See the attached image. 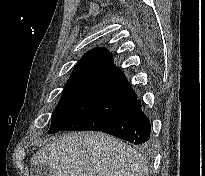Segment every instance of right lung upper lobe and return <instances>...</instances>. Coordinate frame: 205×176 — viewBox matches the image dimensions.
<instances>
[{
    "label": "right lung upper lobe",
    "mask_w": 205,
    "mask_h": 176,
    "mask_svg": "<svg viewBox=\"0 0 205 176\" xmlns=\"http://www.w3.org/2000/svg\"><path fill=\"white\" fill-rule=\"evenodd\" d=\"M82 93H101L133 100L137 97L113 56L102 48L88 51L76 64L63 90L64 96Z\"/></svg>",
    "instance_id": "1"
}]
</instances>
